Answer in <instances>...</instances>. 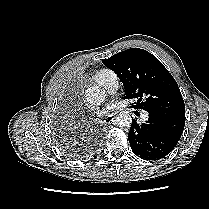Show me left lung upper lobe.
Returning <instances> with one entry per match:
<instances>
[{
    "label": "left lung upper lobe",
    "instance_id": "obj_1",
    "mask_svg": "<svg viewBox=\"0 0 209 209\" xmlns=\"http://www.w3.org/2000/svg\"><path fill=\"white\" fill-rule=\"evenodd\" d=\"M124 85L126 98L137 99L132 107L152 114H171L185 119L180 89L165 66L144 49L130 48L102 61Z\"/></svg>",
    "mask_w": 209,
    "mask_h": 209
}]
</instances>
